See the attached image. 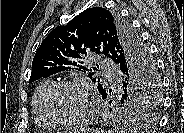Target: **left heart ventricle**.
Returning a JSON list of instances; mask_svg holds the SVG:
<instances>
[{
	"instance_id": "obj_1",
	"label": "left heart ventricle",
	"mask_w": 184,
	"mask_h": 133,
	"mask_svg": "<svg viewBox=\"0 0 184 133\" xmlns=\"http://www.w3.org/2000/svg\"><path fill=\"white\" fill-rule=\"evenodd\" d=\"M49 109L57 118H74L84 109L83 95L76 88L60 87L51 94Z\"/></svg>"
}]
</instances>
